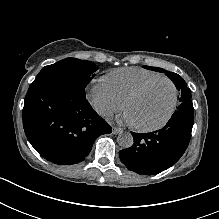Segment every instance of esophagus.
Listing matches in <instances>:
<instances>
[{
  "instance_id": "34e87169",
  "label": "esophagus",
  "mask_w": 219,
  "mask_h": 219,
  "mask_svg": "<svg viewBox=\"0 0 219 219\" xmlns=\"http://www.w3.org/2000/svg\"><path fill=\"white\" fill-rule=\"evenodd\" d=\"M123 132V129L122 128H120V127H117V126H114L113 128H112V133L113 134H121Z\"/></svg>"
}]
</instances>
